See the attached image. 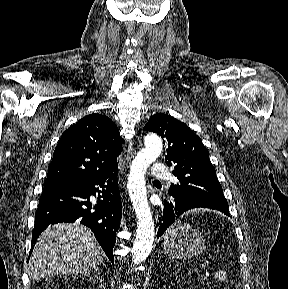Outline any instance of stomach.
<instances>
[{"label":"stomach","instance_id":"stomach-1","mask_svg":"<svg viewBox=\"0 0 288 289\" xmlns=\"http://www.w3.org/2000/svg\"><path fill=\"white\" fill-rule=\"evenodd\" d=\"M163 250L171 257L187 259L198 256L205 250V239L197 229L187 227L178 229L174 234L165 236Z\"/></svg>","mask_w":288,"mask_h":289}]
</instances>
